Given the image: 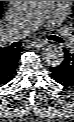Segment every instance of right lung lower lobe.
<instances>
[{
  "instance_id": "98d812e1",
  "label": "right lung lower lobe",
  "mask_w": 74,
  "mask_h": 122,
  "mask_svg": "<svg viewBox=\"0 0 74 122\" xmlns=\"http://www.w3.org/2000/svg\"><path fill=\"white\" fill-rule=\"evenodd\" d=\"M21 51V48H0V85L12 79Z\"/></svg>"
}]
</instances>
